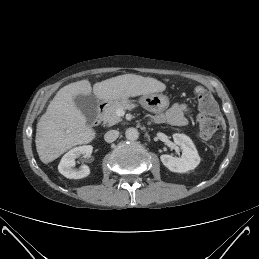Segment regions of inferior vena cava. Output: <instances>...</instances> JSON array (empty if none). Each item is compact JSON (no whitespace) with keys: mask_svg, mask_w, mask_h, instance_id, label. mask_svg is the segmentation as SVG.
Instances as JSON below:
<instances>
[{"mask_svg":"<svg viewBox=\"0 0 259 259\" xmlns=\"http://www.w3.org/2000/svg\"><path fill=\"white\" fill-rule=\"evenodd\" d=\"M119 136V131L117 130H109L108 132L105 133L104 135V140L108 143H111L115 141Z\"/></svg>","mask_w":259,"mask_h":259,"instance_id":"602c4592","label":"inferior vena cava"}]
</instances>
